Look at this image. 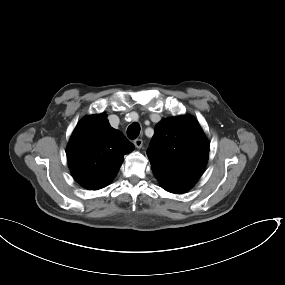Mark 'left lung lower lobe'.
Wrapping results in <instances>:
<instances>
[{"instance_id":"left-lung-lower-lobe-1","label":"left lung lower lobe","mask_w":285,"mask_h":285,"mask_svg":"<svg viewBox=\"0 0 285 285\" xmlns=\"http://www.w3.org/2000/svg\"><path fill=\"white\" fill-rule=\"evenodd\" d=\"M158 181L161 183L162 187L171 193L182 194L188 191L193 185L185 182H179L164 178L158 174H154Z\"/></svg>"}]
</instances>
